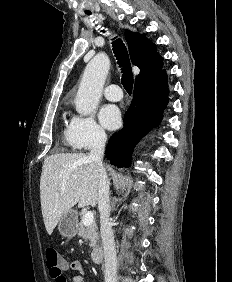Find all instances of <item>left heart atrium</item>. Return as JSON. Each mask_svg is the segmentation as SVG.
<instances>
[{
  "label": "left heart atrium",
  "mask_w": 232,
  "mask_h": 282,
  "mask_svg": "<svg viewBox=\"0 0 232 282\" xmlns=\"http://www.w3.org/2000/svg\"><path fill=\"white\" fill-rule=\"evenodd\" d=\"M99 119L101 124L109 129H115L121 122V115L119 109L112 104L104 105L99 112Z\"/></svg>",
  "instance_id": "obj_1"
}]
</instances>
